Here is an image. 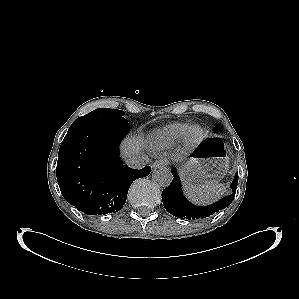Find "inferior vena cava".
Here are the masks:
<instances>
[{
	"label": "inferior vena cava",
	"mask_w": 299,
	"mask_h": 299,
	"mask_svg": "<svg viewBox=\"0 0 299 299\" xmlns=\"http://www.w3.org/2000/svg\"><path fill=\"white\" fill-rule=\"evenodd\" d=\"M129 167L134 169H141L149 163V158L146 155H137L126 160Z\"/></svg>",
	"instance_id": "inferior-vena-cava-1"
}]
</instances>
